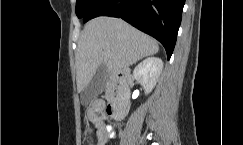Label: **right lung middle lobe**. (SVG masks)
<instances>
[{
    "label": "right lung middle lobe",
    "mask_w": 243,
    "mask_h": 145,
    "mask_svg": "<svg viewBox=\"0 0 243 145\" xmlns=\"http://www.w3.org/2000/svg\"><path fill=\"white\" fill-rule=\"evenodd\" d=\"M97 0H77L76 2V15L78 18H83L89 8L96 2Z\"/></svg>",
    "instance_id": "dd1d6c3e"
}]
</instances>
